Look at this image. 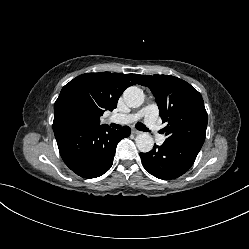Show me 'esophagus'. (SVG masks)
<instances>
[{
  "label": "esophagus",
  "instance_id": "obj_1",
  "mask_svg": "<svg viewBox=\"0 0 249 249\" xmlns=\"http://www.w3.org/2000/svg\"><path fill=\"white\" fill-rule=\"evenodd\" d=\"M132 133H133V134H140L141 131H139V130H137V129H135V128H132Z\"/></svg>",
  "mask_w": 249,
  "mask_h": 249
}]
</instances>
